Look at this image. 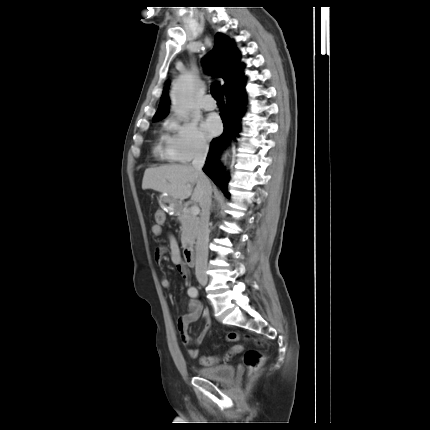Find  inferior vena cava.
<instances>
[{"instance_id":"602c4592","label":"inferior vena cava","mask_w":430,"mask_h":430,"mask_svg":"<svg viewBox=\"0 0 430 430\" xmlns=\"http://www.w3.org/2000/svg\"><path fill=\"white\" fill-rule=\"evenodd\" d=\"M208 154V147H201L195 154L192 161L193 168L198 173L199 180L204 187V194L200 203L201 215L198 226L197 242H196V266L195 274L197 278H206V269L208 261V242H209V217L211 208L212 188L209 179L203 172L202 168L205 164Z\"/></svg>"}]
</instances>
